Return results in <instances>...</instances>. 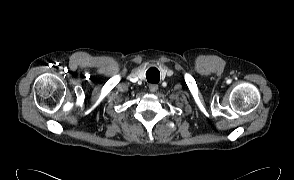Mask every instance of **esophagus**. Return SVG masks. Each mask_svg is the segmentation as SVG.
Returning <instances> with one entry per match:
<instances>
[{
  "label": "esophagus",
  "mask_w": 294,
  "mask_h": 180,
  "mask_svg": "<svg viewBox=\"0 0 294 180\" xmlns=\"http://www.w3.org/2000/svg\"><path fill=\"white\" fill-rule=\"evenodd\" d=\"M157 90H158V87L157 86L156 87L154 86V87L151 88V91L152 92H156Z\"/></svg>",
  "instance_id": "34e87169"
}]
</instances>
